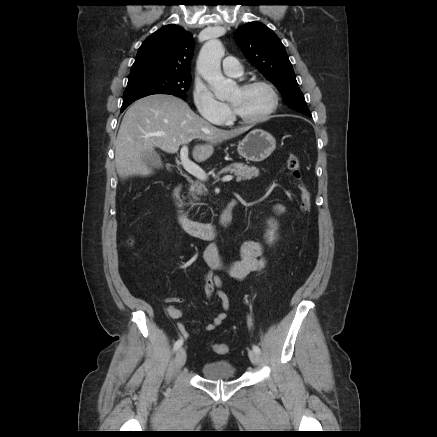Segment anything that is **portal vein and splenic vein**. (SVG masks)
<instances>
[{"instance_id": "obj_1", "label": "portal vein and splenic vein", "mask_w": 437, "mask_h": 437, "mask_svg": "<svg viewBox=\"0 0 437 437\" xmlns=\"http://www.w3.org/2000/svg\"><path fill=\"white\" fill-rule=\"evenodd\" d=\"M180 159H181V163H182L183 168L188 173L195 176L197 179H199L201 181H204L207 179V174L205 173V171L188 158V147L187 146H183L181 148ZM232 179H233V176L227 175V176L222 178V181L226 182V181H230Z\"/></svg>"}]
</instances>
